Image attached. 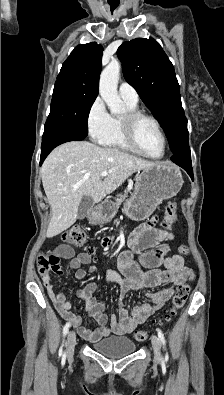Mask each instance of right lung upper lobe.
I'll return each mask as SVG.
<instances>
[{
	"instance_id": "cb5924a9",
	"label": "right lung upper lobe",
	"mask_w": 224,
	"mask_h": 395,
	"mask_svg": "<svg viewBox=\"0 0 224 395\" xmlns=\"http://www.w3.org/2000/svg\"><path fill=\"white\" fill-rule=\"evenodd\" d=\"M103 47L96 42L78 45L63 63L56 83L98 93Z\"/></svg>"
}]
</instances>
